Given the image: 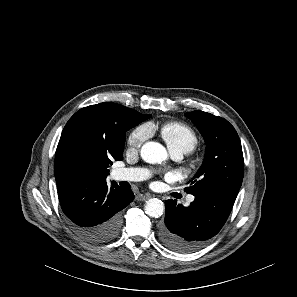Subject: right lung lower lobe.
I'll return each instance as SVG.
<instances>
[{"mask_svg":"<svg viewBox=\"0 0 297 297\" xmlns=\"http://www.w3.org/2000/svg\"><path fill=\"white\" fill-rule=\"evenodd\" d=\"M60 204L76 231L95 243L113 240L120 231L122 209L134 199L130 189L83 175L58 187Z\"/></svg>","mask_w":297,"mask_h":297,"instance_id":"1","label":"right lung lower lobe"}]
</instances>
